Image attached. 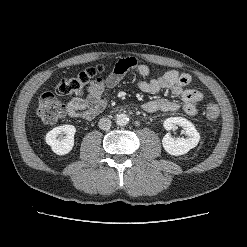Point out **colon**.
<instances>
[{
  "label": "colon",
  "instance_id": "5ec220e1",
  "mask_svg": "<svg viewBox=\"0 0 247 247\" xmlns=\"http://www.w3.org/2000/svg\"><path fill=\"white\" fill-rule=\"evenodd\" d=\"M127 63L119 62L115 68L124 71ZM106 72L104 65L87 68L77 75L61 80L55 88V92H46L41 95L37 107V114L45 123H55L65 115V107L58 96L81 95L96 78ZM204 115L207 120L215 121L220 115L216 104L209 102L205 106Z\"/></svg>",
  "mask_w": 247,
  "mask_h": 247
}]
</instances>
